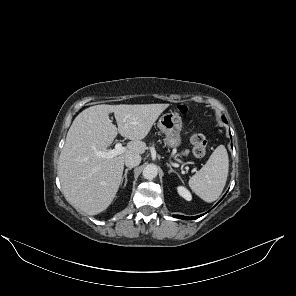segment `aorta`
<instances>
[{"label":"aorta","mask_w":296,"mask_h":296,"mask_svg":"<svg viewBox=\"0 0 296 296\" xmlns=\"http://www.w3.org/2000/svg\"><path fill=\"white\" fill-rule=\"evenodd\" d=\"M158 174V168L156 165L154 164H148L145 166V168L143 169V177L145 179H154Z\"/></svg>","instance_id":"762f6f07"}]
</instances>
